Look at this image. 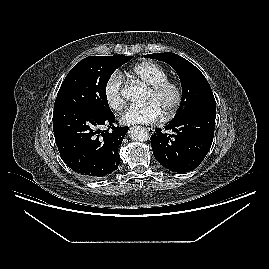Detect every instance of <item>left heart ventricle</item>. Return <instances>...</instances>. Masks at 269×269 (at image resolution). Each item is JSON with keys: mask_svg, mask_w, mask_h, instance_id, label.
<instances>
[{"mask_svg": "<svg viewBox=\"0 0 269 269\" xmlns=\"http://www.w3.org/2000/svg\"><path fill=\"white\" fill-rule=\"evenodd\" d=\"M174 101V92L171 89L166 90L159 96H154L151 91H149L146 102H154L160 109L161 113L164 114Z\"/></svg>", "mask_w": 269, "mask_h": 269, "instance_id": "b2bd125f", "label": "left heart ventricle"}]
</instances>
